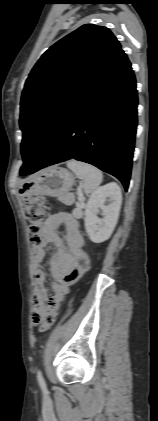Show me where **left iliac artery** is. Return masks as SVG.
<instances>
[{
  "mask_svg": "<svg viewBox=\"0 0 158 421\" xmlns=\"http://www.w3.org/2000/svg\"><path fill=\"white\" fill-rule=\"evenodd\" d=\"M37 380H38V383H39L40 387L43 390H46V383H45V380H44L43 375H42L40 370L37 371Z\"/></svg>",
  "mask_w": 158,
  "mask_h": 421,
  "instance_id": "left-iliac-artery-1",
  "label": "left iliac artery"
}]
</instances>
